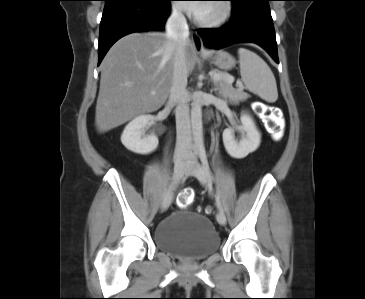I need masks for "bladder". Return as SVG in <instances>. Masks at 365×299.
<instances>
[{"label":"bladder","mask_w":365,"mask_h":299,"mask_svg":"<svg viewBox=\"0 0 365 299\" xmlns=\"http://www.w3.org/2000/svg\"><path fill=\"white\" fill-rule=\"evenodd\" d=\"M159 249L183 259H200L220 247L211 220L193 211L177 209L160 221L153 231Z\"/></svg>","instance_id":"31cf9c89"}]
</instances>
